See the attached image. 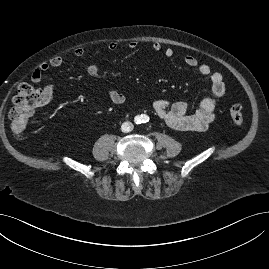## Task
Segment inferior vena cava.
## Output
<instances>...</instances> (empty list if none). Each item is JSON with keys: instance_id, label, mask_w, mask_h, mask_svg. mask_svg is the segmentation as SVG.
Masks as SVG:
<instances>
[{"instance_id": "602c4592", "label": "inferior vena cava", "mask_w": 269, "mask_h": 269, "mask_svg": "<svg viewBox=\"0 0 269 269\" xmlns=\"http://www.w3.org/2000/svg\"><path fill=\"white\" fill-rule=\"evenodd\" d=\"M121 130L124 133L130 132L133 130V124L131 122H124L121 126Z\"/></svg>"}]
</instances>
